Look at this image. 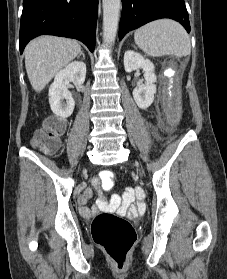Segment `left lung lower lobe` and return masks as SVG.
<instances>
[{
  "label": "left lung lower lobe",
  "instance_id": "left-lung-lower-lobe-1",
  "mask_svg": "<svg viewBox=\"0 0 227 279\" xmlns=\"http://www.w3.org/2000/svg\"><path fill=\"white\" fill-rule=\"evenodd\" d=\"M161 18L178 21L190 33L184 0H122L119 40L129 31Z\"/></svg>",
  "mask_w": 227,
  "mask_h": 279
}]
</instances>
